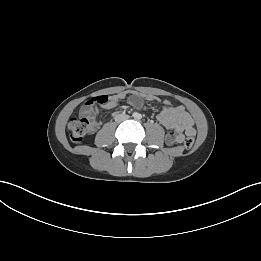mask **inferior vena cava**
Returning a JSON list of instances; mask_svg holds the SVG:
<instances>
[{
	"mask_svg": "<svg viewBox=\"0 0 261 261\" xmlns=\"http://www.w3.org/2000/svg\"><path fill=\"white\" fill-rule=\"evenodd\" d=\"M127 118H128L127 115L121 114V115H118V116L115 117V121L121 122V121H123V120H125V119H127Z\"/></svg>",
	"mask_w": 261,
	"mask_h": 261,
	"instance_id": "602c4592",
	"label": "inferior vena cava"
}]
</instances>
